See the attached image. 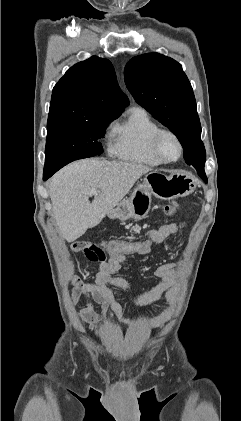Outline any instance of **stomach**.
Returning a JSON list of instances; mask_svg holds the SVG:
<instances>
[{
  "mask_svg": "<svg viewBox=\"0 0 241 421\" xmlns=\"http://www.w3.org/2000/svg\"><path fill=\"white\" fill-rule=\"evenodd\" d=\"M196 180L185 172L165 174L159 170L149 172L129 199L121 201L108 213L111 219L126 221L144 219L151 209L152 194L162 200L185 197L194 192Z\"/></svg>",
  "mask_w": 241,
  "mask_h": 421,
  "instance_id": "obj_1",
  "label": "stomach"
}]
</instances>
